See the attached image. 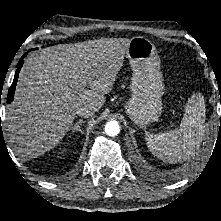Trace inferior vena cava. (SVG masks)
Wrapping results in <instances>:
<instances>
[{
  "label": "inferior vena cava",
  "mask_w": 221,
  "mask_h": 221,
  "mask_svg": "<svg viewBox=\"0 0 221 221\" xmlns=\"http://www.w3.org/2000/svg\"><path fill=\"white\" fill-rule=\"evenodd\" d=\"M95 112H96V108L89 104L81 105L76 110V114L82 118L91 117L95 114Z\"/></svg>",
  "instance_id": "obj_1"
}]
</instances>
